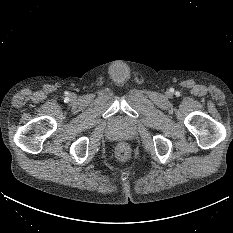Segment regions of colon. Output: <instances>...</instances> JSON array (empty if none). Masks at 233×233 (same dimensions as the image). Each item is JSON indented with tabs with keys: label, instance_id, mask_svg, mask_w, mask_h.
<instances>
[{
	"label": "colon",
	"instance_id": "1",
	"mask_svg": "<svg viewBox=\"0 0 233 233\" xmlns=\"http://www.w3.org/2000/svg\"><path fill=\"white\" fill-rule=\"evenodd\" d=\"M131 150L128 144L120 143L115 150V156L119 161H127L130 158Z\"/></svg>",
	"mask_w": 233,
	"mask_h": 233
}]
</instances>
